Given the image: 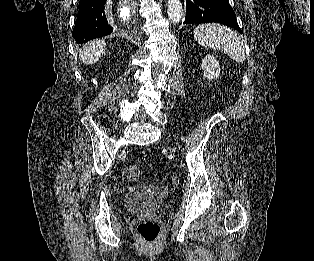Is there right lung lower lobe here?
<instances>
[{"mask_svg":"<svg viewBox=\"0 0 314 261\" xmlns=\"http://www.w3.org/2000/svg\"><path fill=\"white\" fill-rule=\"evenodd\" d=\"M107 0H80L79 13L72 36L79 44L112 33L105 15Z\"/></svg>","mask_w":314,"mask_h":261,"instance_id":"right-lung-lower-lobe-1","label":"right lung lower lobe"}]
</instances>
